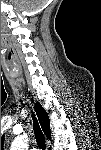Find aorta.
I'll list each match as a JSON object with an SVG mask.
<instances>
[{
    "instance_id": "1",
    "label": "aorta",
    "mask_w": 101,
    "mask_h": 150,
    "mask_svg": "<svg viewBox=\"0 0 101 150\" xmlns=\"http://www.w3.org/2000/svg\"><path fill=\"white\" fill-rule=\"evenodd\" d=\"M29 146V139L27 135L17 136L12 142V150H27Z\"/></svg>"
}]
</instances>
